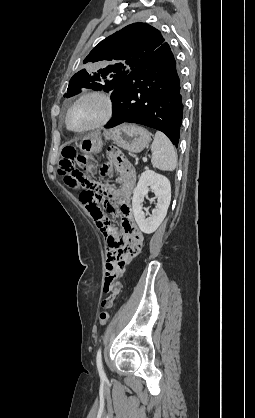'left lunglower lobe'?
<instances>
[{
  "mask_svg": "<svg viewBox=\"0 0 255 418\" xmlns=\"http://www.w3.org/2000/svg\"><path fill=\"white\" fill-rule=\"evenodd\" d=\"M113 117L105 126L124 122L145 125L179 143L183 116L180 73L166 43L141 65L134 68L111 95Z\"/></svg>",
  "mask_w": 255,
  "mask_h": 418,
  "instance_id": "left-lung-lower-lobe-1",
  "label": "left lung lower lobe"
}]
</instances>
